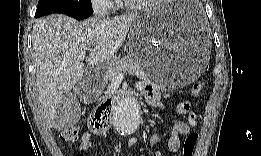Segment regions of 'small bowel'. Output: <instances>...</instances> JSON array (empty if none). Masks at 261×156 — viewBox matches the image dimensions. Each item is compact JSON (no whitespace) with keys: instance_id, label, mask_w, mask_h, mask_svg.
<instances>
[{"instance_id":"small-bowel-1","label":"small bowel","mask_w":261,"mask_h":156,"mask_svg":"<svg viewBox=\"0 0 261 156\" xmlns=\"http://www.w3.org/2000/svg\"><path fill=\"white\" fill-rule=\"evenodd\" d=\"M139 88L144 93L148 102L152 106L159 107L161 109L166 108V105L160 99V94L156 87L151 84H142ZM176 111L180 115H188V121H178L174 123L171 127L170 135L167 140V146L172 154H176L180 149V136H189L197 126V116L191 110V105L189 102L184 101L179 103L176 106ZM158 142L159 137L157 135L152 136L150 140V145L152 149V154L154 156H160V152L154 148ZM91 144V135L88 132H85L82 135L81 141L78 145L76 156H82V153L88 150L91 147Z\"/></svg>"}]
</instances>
